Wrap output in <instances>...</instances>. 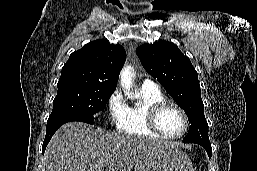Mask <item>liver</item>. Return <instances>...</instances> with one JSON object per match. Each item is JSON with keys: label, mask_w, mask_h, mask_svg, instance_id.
I'll return each instance as SVG.
<instances>
[{"label": "liver", "mask_w": 257, "mask_h": 171, "mask_svg": "<svg viewBox=\"0 0 257 171\" xmlns=\"http://www.w3.org/2000/svg\"><path fill=\"white\" fill-rule=\"evenodd\" d=\"M159 145L176 146L146 138L105 132L82 122L61 126L45 152V171H131L139 156Z\"/></svg>", "instance_id": "6515ba94"}]
</instances>
